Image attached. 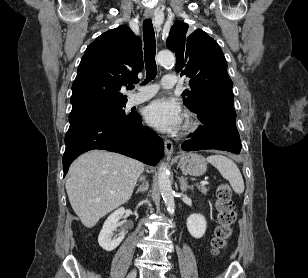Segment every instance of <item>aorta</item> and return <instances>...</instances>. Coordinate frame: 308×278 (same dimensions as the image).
I'll return each instance as SVG.
<instances>
[{
	"instance_id": "aorta-1",
	"label": "aorta",
	"mask_w": 308,
	"mask_h": 278,
	"mask_svg": "<svg viewBox=\"0 0 308 278\" xmlns=\"http://www.w3.org/2000/svg\"><path fill=\"white\" fill-rule=\"evenodd\" d=\"M157 62L162 66H170L175 63V57L170 51H160L157 55ZM158 186L167 211L170 215H173L175 211L174 194L170 181V173L165 164H161L159 168Z\"/></svg>"
}]
</instances>
